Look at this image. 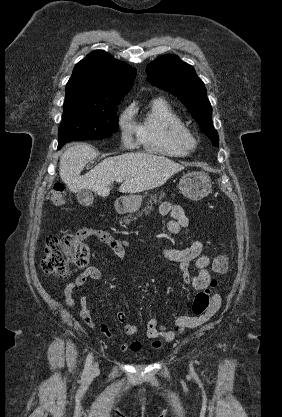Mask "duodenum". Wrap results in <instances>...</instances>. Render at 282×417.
Returning a JSON list of instances; mask_svg holds the SVG:
<instances>
[{"label": "duodenum", "instance_id": "duodenum-1", "mask_svg": "<svg viewBox=\"0 0 282 417\" xmlns=\"http://www.w3.org/2000/svg\"><path fill=\"white\" fill-rule=\"evenodd\" d=\"M121 211H122V208L119 207L118 212H121Z\"/></svg>", "mask_w": 282, "mask_h": 417}]
</instances>
